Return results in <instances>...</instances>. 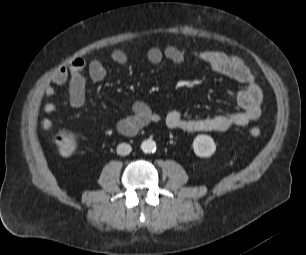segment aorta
<instances>
[{
    "instance_id": "1",
    "label": "aorta",
    "mask_w": 306,
    "mask_h": 255,
    "mask_svg": "<svg viewBox=\"0 0 306 255\" xmlns=\"http://www.w3.org/2000/svg\"><path fill=\"white\" fill-rule=\"evenodd\" d=\"M156 143L155 141L151 140V139H147V140H144L142 143H141V150L144 152V153H153L156 151Z\"/></svg>"
}]
</instances>
